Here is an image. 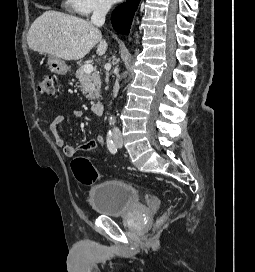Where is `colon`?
Here are the masks:
<instances>
[{"instance_id":"obj_1","label":"colon","mask_w":255,"mask_h":272,"mask_svg":"<svg viewBox=\"0 0 255 272\" xmlns=\"http://www.w3.org/2000/svg\"><path fill=\"white\" fill-rule=\"evenodd\" d=\"M38 90L42 95L52 96L54 93L53 76L52 75L43 76L39 81ZM71 168L76 179L84 185H90L96 180L98 176V173L93 167L92 163L85 156H79L75 158L72 161ZM172 213L173 206L170 205L166 209V211L158 218L157 224L158 225L164 224L172 215Z\"/></svg>"}]
</instances>
